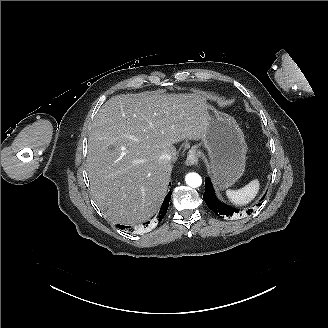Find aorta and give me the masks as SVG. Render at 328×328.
Here are the masks:
<instances>
[{
    "label": "aorta",
    "instance_id": "1",
    "mask_svg": "<svg viewBox=\"0 0 328 328\" xmlns=\"http://www.w3.org/2000/svg\"><path fill=\"white\" fill-rule=\"evenodd\" d=\"M185 182L188 186L196 188L201 186L202 178L198 173L191 172L186 175Z\"/></svg>",
    "mask_w": 328,
    "mask_h": 328
}]
</instances>
